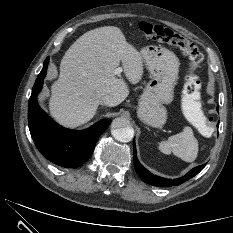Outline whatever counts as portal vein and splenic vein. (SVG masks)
I'll return each instance as SVG.
<instances>
[{
	"label": "portal vein and splenic vein",
	"instance_id": "obj_1",
	"mask_svg": "<svg viewBox=\"0 0 233 233\" xmlns=\"http://www.w3.org/2000/svg\"><path fill=\"white\" fill-rule=\"evenodd\" d=\"M122 72V68L121 67H118L114 70V74L115 75H119L120 73Z\"/></svg>",
	"mask_w": 233,
	"mask_h": 233
}]
</instances>
